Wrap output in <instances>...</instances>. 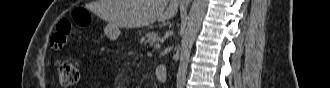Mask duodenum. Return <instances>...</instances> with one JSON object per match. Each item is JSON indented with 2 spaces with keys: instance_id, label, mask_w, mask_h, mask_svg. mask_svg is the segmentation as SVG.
I'll use <instances>...</instances> for the list:
<instances>
[{
  "instance_id": "410a0bca",
  "label": "duodenum",
  "mask_w": 330,
  "mask_h": 88,
  "mask_svg": "<svg viewBox=\"0 0 330 88\" xmlns=\"http://www.w3.org/2000/svg\"><path fill=\"white\" fill-rule=\"evenodd\" d=\"M156 78L159 81H164L166 79V67L159 65L156 67Z\"/></svg>"
}]
</instances>
